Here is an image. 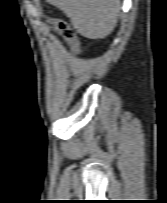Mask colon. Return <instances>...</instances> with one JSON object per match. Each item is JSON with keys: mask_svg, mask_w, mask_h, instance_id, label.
Masks as SVG:
<instances>
[{"mask_svg": "<svg viewBox=\"0 0 167 203\" xmlns=\"http://www.w3.org/2000/svg\"><path fill=\"white\" fill-rule=\"evenodd\" d=\"M52 20L59 34L67 41L75 55L80 57L82 55L80 42L71 26L65 20L60 18H54Z\"/></svg>", "mask_w": 167, "mask_h": 203, "instance_id": "obj_1", "label": "colon"}]
</instances>
